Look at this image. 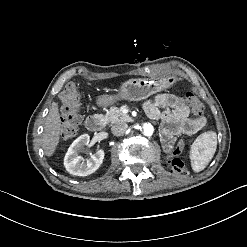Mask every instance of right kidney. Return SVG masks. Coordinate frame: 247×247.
<instances>
[{"label":"right kidney","instance_id":"ca27d5eb","mask_svg":"<svg viewBox=\"0 0 247 247\" xmlns=\"http://www.w3.org/2000/svg\"><path fill=\"white\" fill-rule=\"evenodd\" d=\"M89 140V135L83 134L69 147L64 158V166L71 175L88 176L95 172L102 164L105 156V151L102 148L87 159H83L80 155L83 148L89 146Z\"/></svg>","mask_w":247,"mask_h":247}]
</instances>
